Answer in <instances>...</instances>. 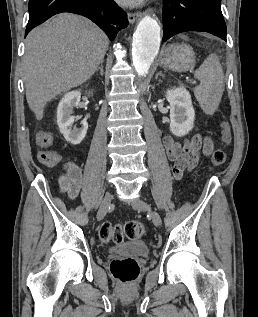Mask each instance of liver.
<instances>
[{
    "mask_svg": "<svg viewBox=\"0 0 258 317\" xmlns=\"http://www.w3.org/2000/svg\"><path fill=\"white\" fill-rule=\"evenodd\" d=\"M23 78L27 102L41 120L48 100L82 84L102 62L109 40L94 22L62 12L33 28L26 40Z\"/></svg>",
    "mask_w": 258,
    "mask_h": 317,
    "instance_id": "1",
    "label": "liver"
}]
</instances>
